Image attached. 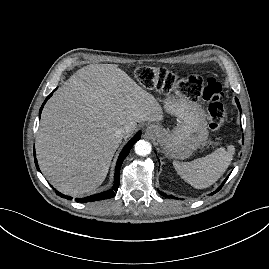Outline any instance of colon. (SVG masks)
Returning a JSON list of instances; mask_svg holds the SVG:
<instances>
[{
    "label": "colon",
    "instance_id": "obj_1",
    "mask_svg": "<svg viewBox=\"0 0 269 269\" xmlns=\"http://www.w3.org/2000/svg\"><path fill=\"white\" fill-rule=\"evenodd\" d=\"M138 82L147 89L175 91L192 100L203 99L209 102V127L219 130L227 119V109L223 104L221 84L212 77L202 78L197 75L179 77L163 68L143 66L136 70Z\"/></svg>",
    "mask_w": 269,
    "mask_h": 269
}]
</instances>
